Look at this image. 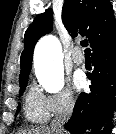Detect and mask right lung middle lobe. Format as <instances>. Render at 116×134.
Wrapping results in <instances>:
<instances>
[{
  "label": "right lung middle lobe",
  "mask_w": 116,
  "mask_h": 134,
  "mask_svg": "<svg viewBox=\"0 0 116 134\" xmlns=\"http://www.w3.org/2000/svg\"><path fill=\"white\" fill-rule=\"evenodd\" d=\"M26 84H27V81H25L21 86H20V92H19V95L21 96L23 94V91L25 90V87H26ZM20 104L18 105V108H17V112H16V115L18 114V112L20 111Z\"/></svg>",
  "instance_id": "obj_1"
}]
</instances>
